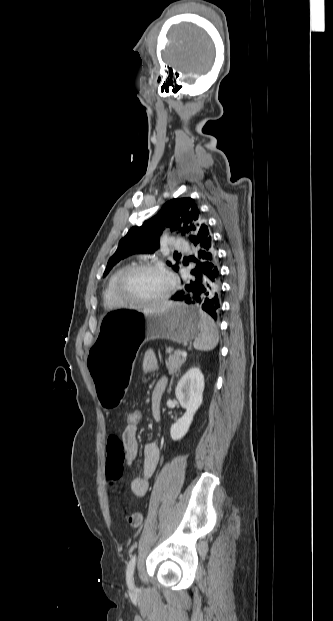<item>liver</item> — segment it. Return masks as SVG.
Returning <instances> with one entry per match:
<instances>
[{
    "mask_svg": "<svg viewBox=\"0 0 333 621\" xmlns=\"http://www.w3.org/2000/svg\"><path fill=\"white\" fill-rule=\"evenodd\" d=\"M172 304H173V302H171V301L170 302H168V301L161 302V303H158V304H155V305H152V306H149V307L145 308L143 310V313L146 314V315L147 314H153V313H160V312H163V311L167 310L170 306H172Z\"/></svg>",
    "mask_w": 333,
    "mask_h": 621,
    "instance_id": "1",
    "label": "liver"
}]
</instances>
